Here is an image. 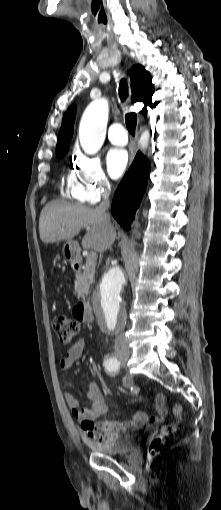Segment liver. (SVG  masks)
Instances as JSON below:
<instances>
[{"label": "liver", "mask_w": 221, "mask_h": 510, "mask_svg": "<svg viewBox=\"0 0 221 510\" xmlns=\"http://www.w3.org/2000/svg\"><path fill=\"white\" fill-rule=\"evenodd\" d=\"M83 227L88 229L82 239L85 249L101 253L115 241L117 234L114 227L106 226L100 213L92 207L54 200L41 211L39 233L46 244L71 240Z\"/></svg>", "instance_id": "liver-1"}]
</instances>
